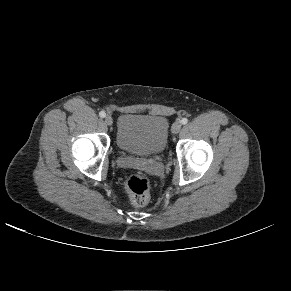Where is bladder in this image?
<instances>
[{
    "label": "bladder",
    "mask_w": 291,
    "mask_h": 291,
    "mask_svg": "<svg viewBox=\"0 0 291 291\" xmlns=\"http://www.w3.org/2000/svg\"><path fill=\"white\" fill-rule=\"evenodd\" d=\"M169 122L161 115L123 114L116 132V144L123 152L147 157L161 154L168 141Z\"/></svg>",
    "instance_id": "obj_1"
}]
</instances>
